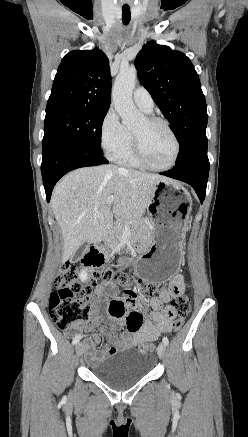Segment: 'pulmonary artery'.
<instances>
[{
	"label": "pulmonary artery",
	"instance_id": "1",
	"mask_svg": "<svg viewBox=\"0 0 248 437\" xmlns=\"http://www.w3.org/2000/svg\"><path fill=\"white\" fill-rule=\"evenodd\" d=\"M133 101L136 106L145 113H151L153 111L154 101L145 88L138 87L134 90Z\"/></svg>",
	"mask_w": 248,
	"mask_h": 437
}]
</instances>
